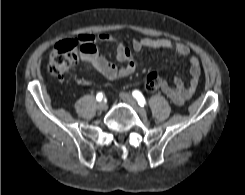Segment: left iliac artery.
Here are the masks:
<instances>
[{"instance_id": "left-iliac-artery-1", "label": "left iliac artery", "mask_w": 245, "mask_h": 195, "mask_svg": "<svg viewBox=\"0 0 245 195\" xmlns=\"http://www.w3.org/2000/svg\"><path fill=\"white\" fill-rule=\"evenodd\" d=\"M132 95H133V97L138 101V104H139L140 106L146 105L145 98H144V96L142 95V93H141L140 91L134 90V91L132 92Z\"/></svg>"}]
</instances>
